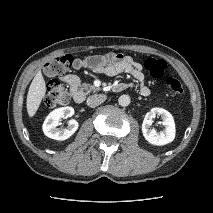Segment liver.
<instances>
[{"instance_id":"liver-1","label":"liver","mask_w":213,"mask_h":213,"mask_svg":"<svg viewBox=\"0 0 213 213\" xmlns=\"http://www.w3.org/2000/svg\"><path fill=\"white\" fill-rule=\"evenodd\" d=\"M45 93H46L45 80L42 76L41 71H38L30 84L27 94L26 107L29 117H33L37 112L41 104V101L45 96Z\"/></svg>"}]
</instances>
